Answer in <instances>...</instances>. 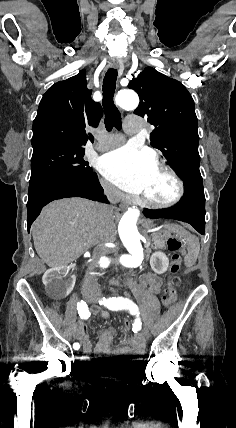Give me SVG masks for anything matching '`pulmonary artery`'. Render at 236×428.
Listing matches in <instances>:
<instances>
[{
  "label": "pulmonary artery",
  "instance_id": "1",
  "mask_svg": "<svg viewBox=\"0 0 236 428\" xmlns=\"http://www.w3.org/2000/svg\"><path fill=\"white\" fill-rule=\"evenodd\" d=\"M117 140L114 143H99L95 146L98 151H107L116 147L117 142L122 141L124 136L122 134H116Z\"/></svg>",
  "mask_w": 236,
  "mask_h": 428
}]
</instances>
